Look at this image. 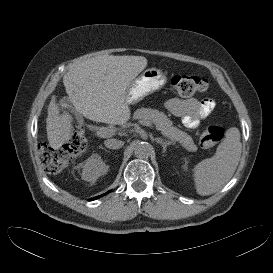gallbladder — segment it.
Here are the masks:
<instances>
[{
  "instance_id": "1",
  "label": "gallbladder",
  "mask_w": 273,
  "mask_h": 273,
  "mask_svg": "<svg viewBox=\"0 0 273 273\" xmlns=\"http://www.w3.org/2000/svg\"><path fill=\"white\" fill-rule=\"evenodd\" d=\"M61 102H63L62 107L64 109H67L68 111H71L73 116L75 117V120L79 123L82 124L84 122V119L82 118V115L80 114V111L71 104V101H69V98L66 96H63L61 98Z\"/></svg>"
}]
</instances>
